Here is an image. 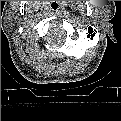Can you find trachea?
I'll list each match as a JSON object with an SVG mask.
<instances>
[{
	"mask_svg": "<svg viewBox=\"0 0 121 121\" xmlns=\"http://www.w3.org/2000/svg\"><path fill=\"white\" fill-rule=\"evenodd\" d=\"M50 7H51V10L55 12L60 10L61 5L58 2H52Z\"/></svg>",
	"mask_w": 121,
	"mask_h": 121,
	"instance_id": "3493384b",
	"label": "trachea"
}]
</instances>
